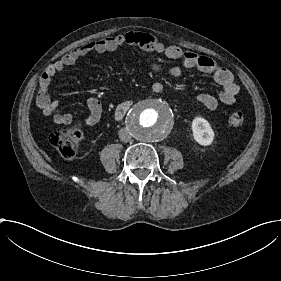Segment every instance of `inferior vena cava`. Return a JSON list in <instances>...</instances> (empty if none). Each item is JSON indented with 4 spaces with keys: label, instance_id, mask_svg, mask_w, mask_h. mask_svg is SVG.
Masks as SVG:
<instances>
[{
    "label": "inferior vena cava",
    "instance_id": "1",
    "mask_svg": "<svg viewBox=\"0 0 281 281\" xmlns=\"http://www.w3.org/2000/svg\"><path fill=\"white\" fill-rule=\"evenodd\" d=\"M119 138L123 142H130L132 140V135L130 134V131L126 128H122L119 131Z\"/></svg>",
    "mask_w": 281,
    "mask_h": 281
}]
</instances>
